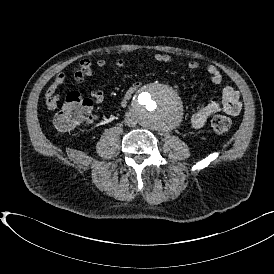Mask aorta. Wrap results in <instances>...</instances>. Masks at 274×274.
Masks as SVG:
<instances>
[{
    "instance_id": "762f6f07",
    "label": "aorta",
    "mask_w": 274,
    "mask_h": 274,
    "mask_svg": "<svg viewBox=\"0 0 274 274\" xmlns=\"http://www.w3.org/2000/svg\"><path fill=\"white\" fill-rule=\"evenodd\" d=\"M134 110L142 126L154 130H168L181 119L182 102L172 87L151 83L136 97Z\"/></svg>"
}]
</instances>
